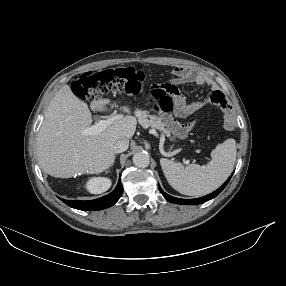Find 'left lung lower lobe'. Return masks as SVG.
I'll return each mask as SVG.
<instances>
[{"mask_svg": "<svg viewBox=\"0 0 286 286\" xmlns=\"http://www.w3.org/2000/svg\"><path fill=\"white\" fill-rule=\"evenodd\" d=\"M233 173L231 174V176L228 178V180L220 187L218 188L216 191H214L213 193L211 194H208L204 197H201V198H196V199H179V198H175V197H172L168 194H166L162 189L161 187L159 186V189L162 193V195L169 201L173 202V203H176V204H184V205H196V204H201V203H204L206 201H209L210 199L216 197L224 188L225 186L228 184L230 178L232 177Z\"/></svg>", "mask_w": 286, "mask_h": 286, "instance_id": "0a47b994", "label": "left lung lower lobe"}]
</instances>
